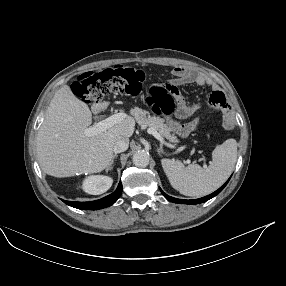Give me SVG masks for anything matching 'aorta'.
<instances>
[{
	"mask_svg": "<svg viewBox=\"0 0 286 286\" xmlns=\"http://www.w3.org/2000/svg\"><path fill=\"white\" fill-rule=\"evenodd\" d=\"M132 159L135 166L146 167L149 164L150 157L145 151H137Z\"/></svg>",
	"mask_w": 286,
	"mask_h": 286,
	"instance_id": "1",
	"label": "aorta"
}]
</instances>
